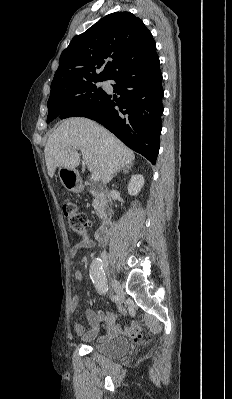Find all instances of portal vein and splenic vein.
Segmentation results:
<instances>
[{
    "label": "portal vein and splenic vein",
    "mask_w": 232,
    "mask_h": 399,
    "mask_svg": "<svg viewBox=\"0 0 232 399\" xmlns=\"http://www.w3.org/2000/svg\"><path fill=\"white\" fill-rule=\"evenodd\" d=\"M91 180H94V182H99V180H100L99 174H97V172H93V174L91 176Z\"/></svg>",
    "instance_id": "1"
}]
</instances>
